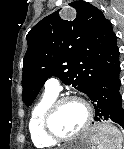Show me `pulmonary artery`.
I'll return each mask as SVG.
<instances>
[{
    "label": "pulmonary artery",
    "instance_id": "pulmonary-artery-1",
    "mask_svg": "<svg viewBox=\"0 0 124 149\" xmlns=\"http://www.w3.org/2000/svg\"><path fill=\"white\" fill-rule=\"evenodd\" d=\"M45 89L47 92L59 94V92L61 91V85L59 80L55 77L48 79L45 84Z\"/></svg>",
    "mask_w": 124,
    "mask_h": 149
}]
</instances>
